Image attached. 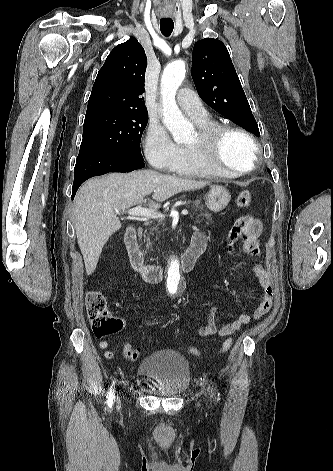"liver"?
<instances>
[{
    "label": "liver",
    "mask_w": 333,
    "mask_h": 471,
    "mask_svg": "<svg viewBox=\"0 0 333 471\" xmlns=\"http://www.w3.org/2000/svg\"><path fill=\"white\" fill-rule=\"evenodd\" d=\"M208 184L152 170L109 173L86 181L74 200V224L87 275L94 272L103 246L122 226L116 211L146 202L144 197L151 192L159 203L149 201V207L157 210L160 202L175 194Z\"/></svg>",
    "instance_id": "1"
}]
</instances>
